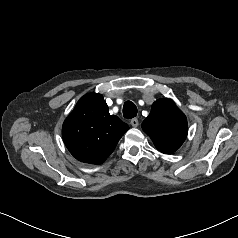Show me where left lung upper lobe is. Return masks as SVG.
<instances>
[{
    "mask_svg": "<svg viewBox=\"0 0 238 238\" xmlns=\"http://www.w3.org/2000/svg\"><path fill=\"white\" fill-rule=\"evenodd\" d=\"M156 148L165 154L175 152L188 133L186 116L171 99H159L152 105L149 116L142 123Z\"/></svg>",
    "mask_w": 238,
    "mask_h": 238,
    "instance_id": "obj_1",
    "label": "left lung upper lobe"
}]
</instances>
